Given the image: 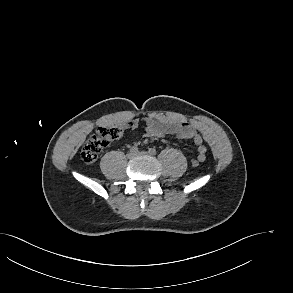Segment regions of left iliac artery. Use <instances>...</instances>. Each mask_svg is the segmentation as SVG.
Instances as JSON below:
<instances>
[{"label": "left iliac artery", "instance_id": "obj_1", "mask_svg": "<svg viewBox=\"0 0 293 293\" xmlns=\"http://www.w3.org/2000/svg\"><path fill=\"white\" fill-rule=\"evenodd\" d=\"M148 153H149L150 155H155V154H156V149H154V148H149Z\"/></svg>", "mask_w": 293, "mask_h": 293}]
</instances>
